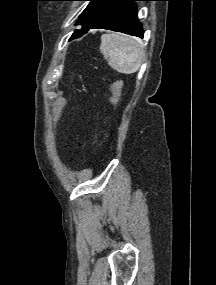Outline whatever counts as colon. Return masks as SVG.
I'll return each instance as SVG.
<instances>
[{
  "label": "colon",
  "mask_w": 216,
  "mask_h": 285,
  "mask_svg": "<svg viewBox=\"0 0 216 285\" xmlns=\"http://www.w3.org/2000/svg\"><path fill=\"white\" fill-rule=\"evenodd\" d=\"M122 81L116 80L110 85V103L116 105L119 103L122 91Z\"/></svg>",
  "instance_id": "1"
}]
</instances>
